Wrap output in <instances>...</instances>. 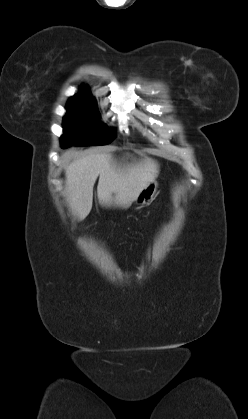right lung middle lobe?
<instances>
[{
    "label": "right lung middle lobe",
    "mask_w": 248,
    "mask_h": 419,
    "mask_svg": "<svg viewBox=\"0 0 248 419\" xmlns=\"http://www.w3.org/2000/svg\"><path fill=\"white\" fill-rule=\"evenodd\" d=\"M96 103L80 98H70L67 114L63 118L64 135L61 147L69 145H106L113 132L98 123Z\"/></svg>",
    "instance_id": "1"
}]
</instances>
